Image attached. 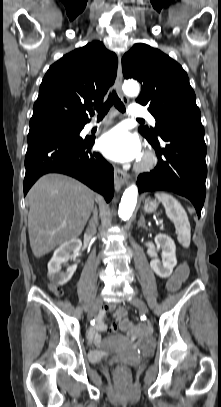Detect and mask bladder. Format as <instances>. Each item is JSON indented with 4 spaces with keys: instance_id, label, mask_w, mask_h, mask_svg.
<instances>
[{
    "instance_id": "31cf9c89",
    "label": "bladder",
    "mask_w": 221,
    "mask_h": 407,
    "mask_svg": "<svg viewBox=\"0 0 221 407\" xmlns=\"http://www.w3.org/2000/svg\"><path fill=\"white\" fill-rule=\"evenodd\" d=\"M117 338H111L108 341V344L113 343L114 341H116ZM113 353V350L111 347L109 346H104L102 348L99 349H94L91 351V358L94 362H99L105 358H107L108 356H110Z\"/></svg>"
}]
</instances>
